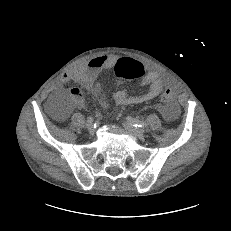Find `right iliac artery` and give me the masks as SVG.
<instances>
[{
	"label": "right iliac artery",
	"instance_id": "right-iliac-artery-1",
	"mask_svg": "<svg viewBox=\"0 0 231 231\" xmlns=\"http://www.w3.org/2000/svg\"><path fill=\"white\" fill-rule=\"evenodd\" d=\"M87 122H93V118L92 117H88L87 118Z\"/></svg>",
	"mask_w": 231,
	"mask_h": 231
}]
</instances>
